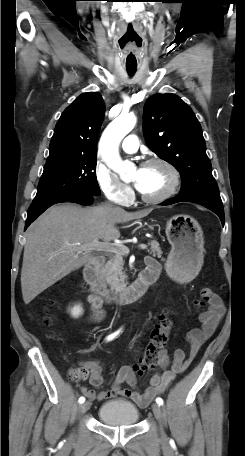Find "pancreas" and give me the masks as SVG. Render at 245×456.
Here are the masks:
<instances>
[{"instance_id":"1","label":"pancreas","mask_w":245,"mask_h":456,"mask_svg":"<svg viewBox=\"0 0 245 456\" xmlns=\"http://www.w3.org/2000/svg\"><path fill=\"white\" fill-rule=\"evenodd\" d=\"M148 245L150 246V249L148 250L149 254L164 260L162 258L163 252L161 251V248L156 241H149ZM125 255L126 253H124L122 250L110 254L109 260L102 270V276L105 279L106 283L109 285L112 292H118L126 286V275L123 272V256Z\"/></svg>"}]
</instances>
